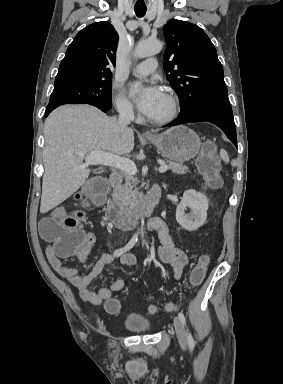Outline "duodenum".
Here are the masks:
<instances>
[{
	"mask_svg": "<svg viewBox=\"0 0 283 384\" xmlns=\"http://www.w3.org/2000/svg\"><path fill=\"white\" fill-rule=\"evenodd\" d=\"M110 181L113 185H118L121 182L119 172L110 174ZM161 197V189L158 185L146 193L140 204L132 211H122L117 206H108L105 210V215L113 225L120 229H127L136 226L141 220L151 214L156 208Z\"/></svg>",
	"mask_w": 283,
	"mask_h": 384,
	"instance_id": "410a0bca",
	"label": "duodenum"
}]
</instances>
